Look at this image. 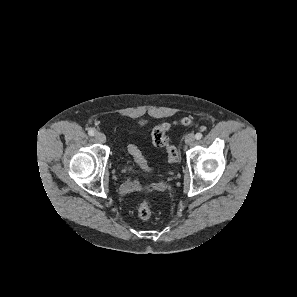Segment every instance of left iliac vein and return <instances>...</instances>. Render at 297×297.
Segmentation results:
<instances>
[{
    "instance_id": "left-iliac-vein-1",
    "label": "left iliac vein",
    "mask_w": 297,
    "mask_h": 297,
    "mask_svg": "<svg viewBox=\"0 0 297 297\" xmlns=\"http://www.w3.org/2000/svg\"><path fill=\"white\" fill-rule=\"evenodd\" d=\"M185 143L187 145H192L195 143V136L192 133H189L185 136Z\"/></svg>"
}]
</instances>
